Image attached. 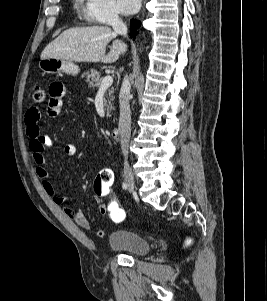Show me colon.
<instances>
[{
	"mask_svg": "<svg viewBox=\"0 0 267 301\" xmlns=\"http://www.w3.org/2000/svg\"><path fill=\"white\" fill-rule=\"evenodd\" d=\"M31 93L34 104H39L44 100L45 94L41 86L34 85ZM113 183L114 177L111 169H101L94 179L92 195L100 200L105 209V215L112 222L121 223L126 218V211L117 198Z\"/></svg>",
	"mask_w": 267,
	"mask_h": 301,
	"instance_id": "colon-1",
	"label": "colon"
}]
</instances>
